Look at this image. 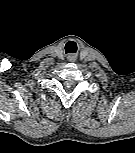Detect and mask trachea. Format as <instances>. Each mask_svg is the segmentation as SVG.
Here are the masks:
<instances>
[{
  "mask_svg": "<svg viewBox=\"0 0 135 153\" xmlns=\"http://www.w3.org/2000/svg\"><path fill=\"white\" fill-rule=\"evenodd\" d=\"M73 49H76V43L73 41L68 42L65 46L66 53H71L70 51Z\"/></svg>",
  "mask_w": 135,
  "mask_h": 153,
  "instance_id": "obj_1",
  "label": "trachea"
}]
</instances>
